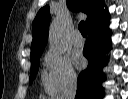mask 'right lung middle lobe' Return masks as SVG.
<instances>
[{"instance_id":"1","label":"right lung middle lobe","mask_w":128,"mask_h":99,"mask_svg":"<svg viewBox=\"0 0 128 99\" xmlns=\"http://www.w3.org/2000/svg\"><path fill=\"white\" fill-rule=\"evenodd\" d=\"M40 56L41 55L31 58V72H30L29 84H32V81L34 80L36 73L38 72Z\"/></svg>"}]
</instances>
